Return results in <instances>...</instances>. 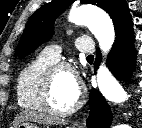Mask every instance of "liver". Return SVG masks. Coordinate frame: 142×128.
<instances>
[{
    "label": "liver",
    "instance_id": "1",
    "mask_svg": "<svg viewBox=\"0 0 142 128\" xmlns=\"http://www.w3.org/2000/svg\"><path fill=\"white\" fill-rule=\"evenodd\" d=\"M23 121H34L45 124L61 123L60 120L35 111H23L14 119V125Z\"/></svg>",
    "mask_w": 142,
    "mask_h": 128
}]
</instances>
